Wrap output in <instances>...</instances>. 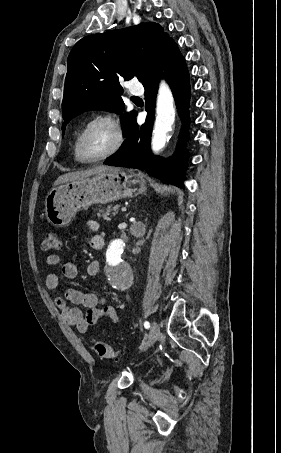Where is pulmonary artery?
I'll use <instances>...</instances> for the list:
<instances>
[{
  "label": "pulmonary artery",
  "mask_w": 281,
  "mask_h": 453,
  "mask_svg": "<svg viewBox=\"0 0 281 453\" xmlns=\"http://www.w3.org/2000/svg\"><path fill=\"white\" fill-rule=\"evenodd\" d=\"M131 91V90H130ZM131 93L133 94H140V92H136V91H131Z\"/></svg>",
  "instance_id": "obj_1"
}]
</instances>
